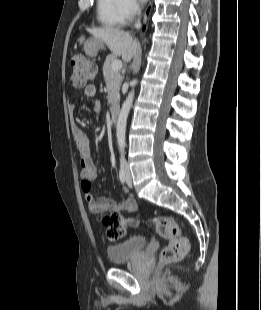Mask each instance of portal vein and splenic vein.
Here are the masks:
<instances>
[{"label": "portal vein and splenic vein", "mask_w": 261, "mask_h": 310, "mask_svg": "<svg viewBox=\"0 0 261 310\" xmlns=\"http://www.w3.org/2000/svg\"><path fill=\"white\" fill-rule=\"evenodd\" d=\"M122 68V61L121 60H115L112 63V70L113 71H119Z\"/></svg>", "instance_id": "portal-vein-and-splenic-vein-1"}]
</instances>
